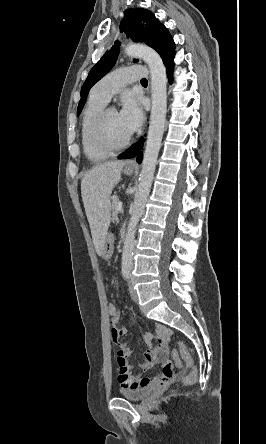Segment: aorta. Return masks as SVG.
<instances>
[{
    "label": "aorta",
    "mask_w": 266,
    "mask_h": 444,
    "mask_svg": "<svg viewBox=\"0 0 266 444\" xmlns=\"http://www.w3.org/2000/svg\"><path fill=\"white\" fill-rule=\"evenodd\" d=\"M125 52L129 56L143 59L148 64L151 74L152 99L150 125L142 161L139 186L135 195L134 206L127 227L122 253V273L129 275L132 268L136 227L140 216L145 210V204L151 189L164 132L167 112V78L163 61L154 49L142 44H131L126 47Z\"/></svg>",
    "instance_id": "762f6f07"
}]
</instances>
